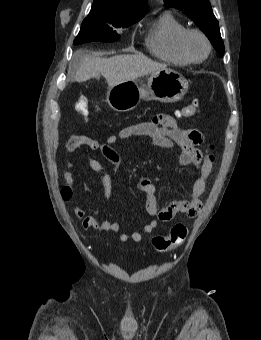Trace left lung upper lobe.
I'll use <instances>...</instances> for the list:
<instances>
[{"mask_svg":"<svg viewBox=\"0 0 261 340\" xmlns=\"http://www.w3.org/2000/svg\"><path fill=\"white\" fill-rule=\"evenodd\" d=\"M165 5L180 9L205 33L220 57L224 54V43L219 24L208 0H164Z\"/></svg>","mask_w":261,"mask_h":340,"instance_id":"1","label":"left lung upper lobe"}]
</instances>
